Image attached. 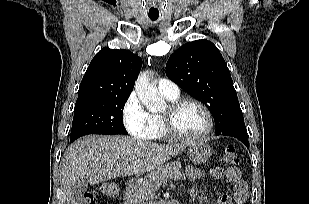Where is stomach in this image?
<instances>
[{
	"instance_id": "obj_1",
	"label": "stomach",
	"mask_w": 309,
	"mask_h": 204,
	"mask_svg": "<svg viewBox=\"0 0 309 204\" xmlns=\"http://www.w3.org/2000/svg\"><path fill=\"white\" fill-rule=\"evenodd\" d=\"M211 147L203 140H196L188 145V156L194 164L205 163L211 156Z\"/></svg>"
}]
</instances>
